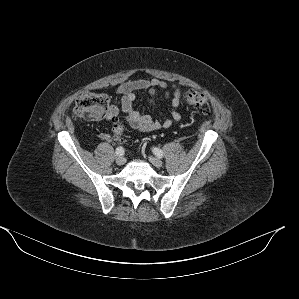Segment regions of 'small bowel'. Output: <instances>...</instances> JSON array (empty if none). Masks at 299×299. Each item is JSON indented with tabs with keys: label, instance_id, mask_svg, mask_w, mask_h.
<instances>
[{
	"label": "small bowel",
	"instance_id": "obj_1",
	"mask_svg": "<svg viewBox=\"0 0 299 299\" xmlns=\"http://www.w3.org/2000/svg\"><path fill=\"white\" fill-rule=\"evenodd\" d=\"M120 97L109 105L105 120H115L119 110L126 114L127 124L139 132H150L159 129H167L181 120L179 106L181 103V92L177 85H168L165 81L152 79H137L121 83L116 88ZM147 91L150 95V102L154 103L158 91H161L166 104L170 107V115L165 118L140 113L134 105L136 93ZM101 138L105 141H111L112 136L104 133ZM119 141V138H115Z\"/></svg>",
	"mask_w": 299,
	"mask_h": 299
}]
</instances>
